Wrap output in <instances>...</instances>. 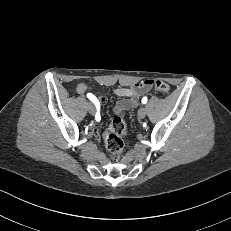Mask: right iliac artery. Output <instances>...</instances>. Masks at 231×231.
I'll list each match as a JSON object with an SVG mask.
<instances>
[{
	"instance_id": "obj_1",
	"label": "right iliac artery",
	"mask_w": 231,
	"mask_h": 231,
	"mask_svg": "<svg viewBox=\"0 0 231 231\" xmlns=\"http://www.w3.org/2000/svg\"><path fill=\"white\" fill-rule=\"evenodd\" d=\"M87 97L95 104L96 109H97L95 119H96V121H100L101 120V116H100V113H99L100 104H99L97 98L93 94H90V93L87 94Z\"/></svg>"
}]
</instances>
